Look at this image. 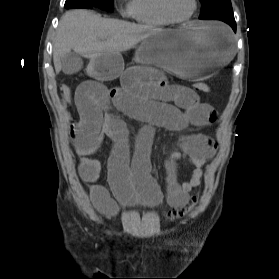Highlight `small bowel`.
I'll return each mask as SVG.
<instances>
[{
	"mask_svg": "<svg viewBox=\"0 0 279 279\" xmlns=\"http://www.w3.org/2000/svg\"><path fill=\"white\" fill-rule=\"evenodd\" d=\"M74 102L78 118L70 125V137L81 157L78 174L88 185L91 200L101 212L118 211L117 201L125 206L142 202L156 206L162 192L151 175L150 151L156 128L180 131L189 125L208 126L215 121L214 108L200 100L190 88L169 84L164 75L152 68H127L118 87H107L88 81L80 84ZM114 107L128 117L141 121L134 152L131 155L128 129L124 121L110 111ZM104 136L114 144L108 161V189L98 183L101 164L88 155L99 147ZM216 152L214 140L204 134L181 138L177 148L169 152L167 165V202L180 208L189 201V193L201 183L203 166ZM186 160L195 168L190 177L178 182L176 162Z\"/></svg>",
	"mask_w": 279,
	"mask_h": 279,
	"instance_id": "obj_1",
	"label": "small bowel"
}]
</instances>
